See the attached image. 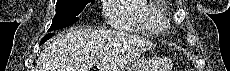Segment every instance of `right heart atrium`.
<instances>
[{
    "label": "right heart atrium",
    "mask_w": 230,
    "mask_h": 71,
    "mask_svg": "<svg viewBox=\"0 0 230 71\" xmlns=\"http://www.w3.org/2000/svg\"><path fill=\"white\" fill-rule=\"evenodd\" d=\"M112 1H113V0H108V3H109V2H112Z\"/></svg>",
    "instance_id": "1"
}]
</instances>
